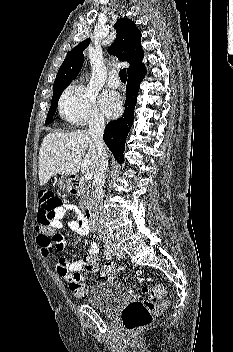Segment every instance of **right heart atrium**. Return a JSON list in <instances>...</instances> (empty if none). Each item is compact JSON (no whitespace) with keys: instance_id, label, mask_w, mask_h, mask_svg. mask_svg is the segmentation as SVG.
I'll use <instances>...</instances> for the list:
<instances>
[{"instance_id":"1","label":"right heart atrium","mask_w":233,"mask_h":352,"mask_svg":"<svg viewBox=\"0 0 233 352\" xmlns=\"http://www.w3.org/2000/svg\"><path fill=\"white\" fill-rule=\"evenodd\" d=\"M59 112L74 126L102 124L104 121L97 107L95 94L78 83L69 85L62 93Z\"/></svg>"}]
</instances>
